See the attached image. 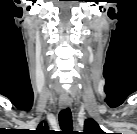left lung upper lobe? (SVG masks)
I'll list each match as a JSON object with an SVG mask.
<instances>
[{"label":"left lung upper lobe","mask_w":137,"mask_h":134,"mask_svg":"<svg viewBox=\"0 0 137 134\" xmlns=\"http://www.w3.org/2000/svg\"><path fill=\"white\" fill-rule=\"evenodd\" d=\"M84 134H104V131L95 120L87 119L84 123Z\"/></svg>","instance_id":"5c2ea615"}]
</instances>
